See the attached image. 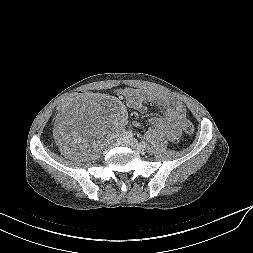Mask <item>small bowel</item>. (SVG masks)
I'll return each instance as SVG.
<instances>
[{"label":"small bowel","instance_id":"c3829d8e","mask_svg":"<svg viewBox=\"0 0 253 253\" xmlns=\"http://www.w3.org/2000/svg\"><path fill=\"white\" fill-rule=\"evenodd\" d=\"M119 94L125 99L128 107L137 111L145 112L148 106L161 108L162 115L152 118L151 125L171 141H176L180 137V128L186 118V109L180 101L135 88H123ZM133 124L135 127L140 126L137 121Z\"/></svg>","mask_w":253,"mask_h":253}]
</instances>
